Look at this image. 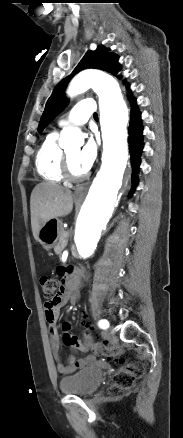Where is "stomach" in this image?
Returning a JSON list of instances; mask_svg holds the SVG:
<instances>
[{
	"label": "stomach",
	"mask_w": 183,
	"mask_h": 438,
	"mask_svg": "<svg viewBox=\"0 0 183 438\" xmlns=\"http://www.w3.org/2000/svg\"><path fill=\"white\" fill-rule=\"evenodd\" d=\"M62 231L61 221L51 219L41 227L38 234V241L45 250L49 251L57 244Z\"/></svg>",
	"instance_id": "obj_1"
}]
</instances>
